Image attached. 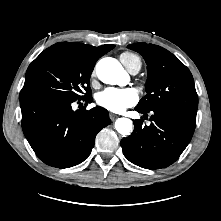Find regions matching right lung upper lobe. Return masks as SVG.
<instances>
[{
	"instance_id": "1",
	"label": "right lung upper lobe",
	"mask_w": 221,
	"mask_h": 221,
	"mask_svg": "<svg viewBox=\"0 0 221 221\" xmlns=\"http://www.w3.org/2000/svg\"><path fill=\"white\" fill-rule=\"evenodd\" d=\"M115 47V45H102L99 47H94L87 44H81V43H67V42H61L52 45L49 47V49H66L70 51H74L76 53H79L82 55L86 60L96 63V61L103 56L105 53L109 52Z\"/></svg>"
}]
</instances>
